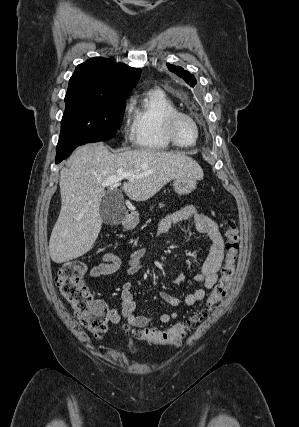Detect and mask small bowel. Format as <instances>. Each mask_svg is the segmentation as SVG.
<instances>
[{"label":"small bowel","instance_id":"1","mask_svg":"<svg viewBox=\"0 0 299 427\" xmlns=\"http://www.w3.org/2000/svg\"><path fill=\"white\" fill-rule=\"evenodd\" d=\"M191 221L195 229L206 236L210 240V250L206 260L204 261L201 273L195 277V280L202 284L203 288H199L194 292L187 294L183 299H180L170 292L163 291L160 297L170 306L177 307L181 304L193 306L205 298L206 290L213 288L218 279V273L221 269L224 260V242L219 231L218 225L214 220L209 218L204 213L200 212L193 205H184L174 212L167 214L161 221L158 229L159 235L166 234L174 225ZM144 249H138L131 253L129 260L126 263V271L129 275L136 274L141 268L142 259L145 256ZM123 263L121 259L112 253H107L103 256V261L94 266L90 271V277H99L117 272L121 269ZM184 281L183 275H178L177 283ZM131 282L123 283L121 287V311L110 309L108 312L109 321L113 324H118L122 320H126L129 325L136 328L146 327L152 320L151 316L136 315V303L131 292ZM179 312L173 310L170 313L161 314L158 320L162 323H167L179 317Z\"/></svg>","mask_w":299,"mask_h":427}]
</instances>
